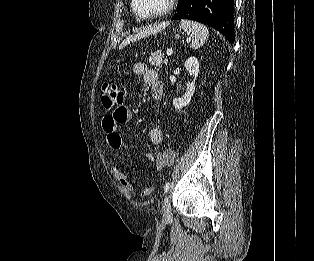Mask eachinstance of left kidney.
Instances as JSON below:
<instances>
[{"label": "left kidney", "instance_id": "1", "mask_svg": "<svg viewBox=\"0 0 314 261\" xmlns=\"http://www.w3.org/2000/svg\"><path fill=\"white\" fill-rule=\"evenodd\" d=\"M184 67L191 75H193L194 79L188 87L185 95L181 98L173 99V106L176 110H181L190 104V101L195 93V81L199 74L200 65L196 57H189L185 63Z\"/></svg>", "mask_w": 314, "mask_h": 261}]
</instances>
